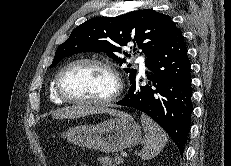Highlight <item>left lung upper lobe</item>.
I'll list each match as a JSON object with an SVG mask.
<instances>
[{
  "mask_svg": "<svg viewBox=\"0 0 231 166\" xmlns=\"http://www.w3.org/2000/svg\"><path fill=\"white\" fill-rule=\"evenodd\" d=\"M176 28L170 16L149 9L117 17L93 18L76 27L70 37L57 48L50 67L56 66L66 56L92 51L105 53L122 65L126 60L119 57V54L124 53L130 57L121 48L127 44H134V51L141 49L149 58L166 43ZM128 67L124 70L129 73L131 82L137 70L130 68V65Z\"/></svg>",
  "mask_w": 231,
  "mask_h": 166,
  "instance_id": "1",
  "label": "left lung upper lobe"
}]
</instances>
